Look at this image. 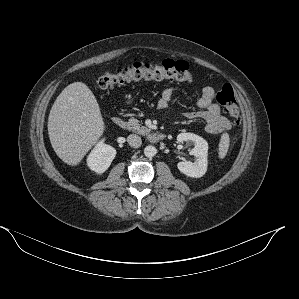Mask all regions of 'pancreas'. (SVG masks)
<instances>
[{
  "mask_svg": "<svg viewBox=\"0 0 299 299\" xmlns=\"http://www.w3.org/2000/svg\"><path fill=\"white\" fill-rule=\"evenodd\" d=\"M125 128L128 129L129 131H134L141 135H147L151 131V129L142 126L140 121L135 118L129 119L128 122H126L125 124Z\"/></svg>",
  "mask_w": 299,
  "mask_h": 299,
  "instance_id": "1",
  "label": "pancreas"
}]
</instances>
